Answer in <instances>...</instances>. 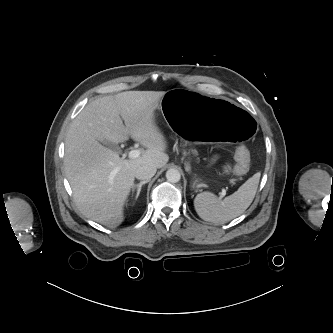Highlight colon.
I'll use <instances>...</instances> for the list:
<instances>
[{
  "label": "colon",
  "instance_id": "1",
  "mask_svg": "<svg viewBox=\"0 0 333 333\" xmlns=\"http://www.w3.org/2000/svg\"><path fill=\"white\" fill-rule=\"evenodd\" d=\"M236 167L237 174H244L249 166V151L245 146H240L236 150Z\"/></svg>",
  "mask_w": 333,
  "mask_h": 333
}]
</instances>
